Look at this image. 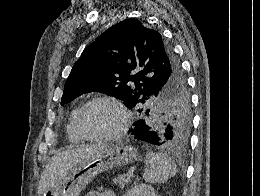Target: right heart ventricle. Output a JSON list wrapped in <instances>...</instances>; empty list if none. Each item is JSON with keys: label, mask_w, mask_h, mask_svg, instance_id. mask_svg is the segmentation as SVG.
Returning <instances> with one entry per match:
<instances>
[{"label": "right heart ventricle", "mask_w": 260, "mask_h": 196, "mask_svg": "<svg viewBox=\"0 0 260 196\" xmlns=\"http://www.w3.org/2000/svg\"><path fill=\"white\" fill-rule=\"evenodd\" d=\"M79 107L80 106L76 107L71 112L69 121L66 126V133H67L68 140L72 143H79L83 140V138L81 137L80 133L78 132V130L76 129V126H75V116H76V112L79 109Z\"/></svg>", "instance_id": "obj_1"}]
</instances>
